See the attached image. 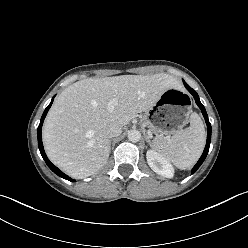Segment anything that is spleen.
Listing matches in <instances>:
<instances>
[{
  "mask_svg": "<svg viewBox=\"0 0 248 248\" xmlns=\"http://www.w3.org/2000/svg\"><path fill=\"white\" fill-rule=\"evenodd\" d=\"M206 133L197 113L190 116V126L177 131L170 139L154 140L152 147L179 169L192 167L202 154Z\"/></svg>",
  "mask_w": 248,
  "mask_h": 248,
  "instance_id": "1",
  "label": "spleen"
}]
</instances>
